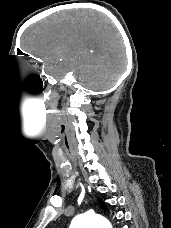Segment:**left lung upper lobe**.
<instances>
[{
    "label": "left lung upper lobe",
    "instance_id": "obj_1",
    "mask_svg": "<svg viewBox=\"0 0 171 228\" xmlns=\"http://www.w3.org/2000/svg\"><path fill=\"white\" fill-rule=\"evenodd\" d=\"M99 203H100V205L102 206V208L104 210H107V207H106L105 203L101 199H99Z\"/></svg>",
    "mask_w": 171,
    "mask_h": 228
}]
</instances>
